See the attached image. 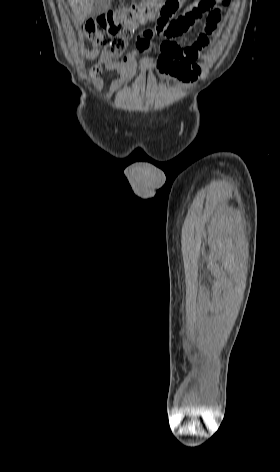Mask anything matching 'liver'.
Returning <instances> with one entry per match:
<instances>
[{"label":"liver","instance_id":"obj_1","mask_svg":"<svg viewBox=\"0 0 280 472\" xmlns=\"http://www.w3.org/2000/svg\"><path fill=\"white\" fill-rule=\"evenodd\" d=\"M94 0H68L74 14V24L78 27L91 15Z\"/></svg>","mask_w":280,"mask_h":472}]
</instances>
